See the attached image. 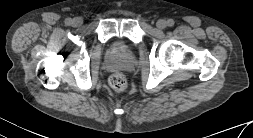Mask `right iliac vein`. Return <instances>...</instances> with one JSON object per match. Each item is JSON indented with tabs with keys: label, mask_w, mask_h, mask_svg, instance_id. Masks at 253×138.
Returning a JSON list of instances; mask_svg holds the SVG:
<instances>
[{
	"label": "right iliac vein",
	"mask_w": 253,
	"mask_h": 138,
	"mask_svg": "<svg viewBox=\"0 0 253 138\" xmlns=\"http://www.w3.org/2000/svg\"><path fill=\"white\" fill-rule=\"evenodd\" d=\"M79 23H80V20H79V19H75V20H73V21L71 22V25H72L73 27H76Z\"/></svg>",
	"instance_id": "obj_1"
}]
</instances>
